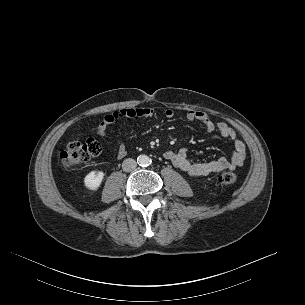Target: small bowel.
<instances>
[{"instance_id": "small-bowel-1", "label": "small bowel", "mask_w": 305, "mask_h": 305, "mask_svg": "<svg viewBox=\"0 0 305 305\" xmlns=\"http://www.w3.org/2000/svg\"><path fill=\"white\" fill-rule=\"evenodd\" d=\"M154 115L155 112L150 107L119 109L103 118L96 129V134L104 138L108 133L109 127L118 121L134 118L151 119ZM165 116L167 118H172L174 112L171 109H168L165 111ZM186 119L190 122H199L208 132L216 131L222 138L229 140L234 148L232 156L230 159L221 157L213 161L197 163L192 162L189 158L188 150L182 148L178 151H165L163 153L165 159L171 161L175 167L195 179L226 169L233 170L243 165L246 159V147L243 141L238 138L232 127L225 122H213L211 117L202 111H188L186 113ZM126 154V146L123 142H120L116 150V157L123 158Z\"/></svg>"}]
</instances>
